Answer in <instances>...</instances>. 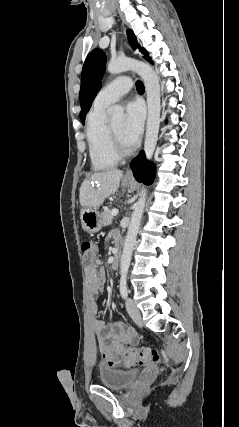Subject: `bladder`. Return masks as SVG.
I'll return each instance as SVG.
<instances>
[{
	"instance_id": "1",
	"label": "bladder",
	"mask_w": 239,
	"mask_h": 427,
	"mask_svg": "<svg viewBox=\"0 0 239 427\" xmlns=\"http://www.w3.org/2000/svg\"><path fill=\"white\" fill-rule=\"evenodd\" d=\"M138 370H123L108 367L99 369V382L112 389H124L132 385L138 378Z\"/></svg>"
}]
</instances>
